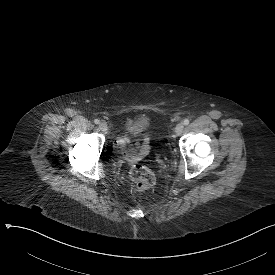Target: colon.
<instances>
[{
  "label": "colon",
  "mask_w": 275,
  "mask_h": 275,
  "mask_svg": "<svg viewBox=\"0 0 275 275\" xmlns=\"http://www.w3.org/2000/svg\"><path fill=\"white\" fill-rule=\"evenodd\" d=\"M129 177L136 183V191L150 189L155 183V175L147 167L135 165L130 168Z\"/></svg>",
  "instance_id": "1"
}]
</instances>
